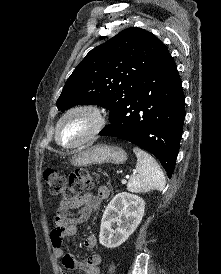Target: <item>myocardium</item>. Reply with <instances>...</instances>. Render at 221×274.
I'll return each mask as SVG.
<instances>
[{
	"mask_svg": "<svg viewBox=\"0 0 221 274\" xmlns=\"http://www.w3.org/2000/svg\"><path fill=\"white\" fill-rule=\"evenodd\" d=\"M77 114H82L87 116L91 121V127L88 130V132L78 141L74 143H64L60 139L61 126L68 118ZM106 123H107V116L103 108L95 104H78L66 110L57 121L56 127H55V140L58 145L64 148H68V149L77 148L88 143L95 136H97L103 130Z\"/></svg>",
	"mask_w": 221,
	"mask_h": 274,
	"instance_id": "myocardium-1",
	"label": "myocardium"
}]
</instances>
